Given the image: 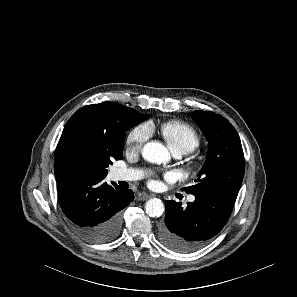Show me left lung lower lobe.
<instances>
[{
  "mask_svg": "<svg viewBox=\"0 0 297 297\" xmlns=\"http://www.w3.org/2000/svg\"><path fill=\"white\" fill-rule=\"evenodd\" d=\"M237 193L209 192L195 195L186 208L174 200L165 202V223L160 239L168 248L190 253L203 247L228 221Z\"/></svg>",
  "mask_w": 297,
  "mask_h": 297,
  "instance_id": "0a47b994",
  "label": "left lung lower lobe"
}]
</instances>
